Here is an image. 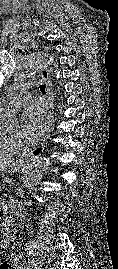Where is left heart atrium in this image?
<instances>
[{
	"mask_svg": "<svg viewBox=\"0 0 118 269\" xmlns=\"http://www.w3.org/2000/svg\"><path fill=\"white\" fill-rule=\"evenodd\" d=\"M24 130L31 140H35L43 134L49 122L47 106L41 101L30 102L22 115Z\"/></svg>",
	"mask_w": 118,
	"mask_h": 269,
	"instance_id": "39dd6f15",
	"label": "left heart atrium"
}]
</instances>
